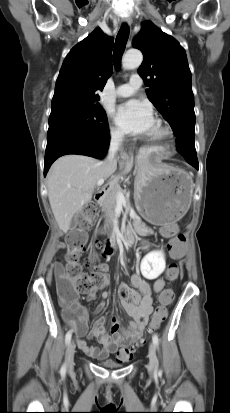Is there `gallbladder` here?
Returning a JSON list of instances; mask_svg holds the SVG:
<instances>
[{"label":"gallbladder","instance_id":"gallbladder-1","mask_svg":"<svg viewBox=\"0 0 230 413\" xmlns=\"http://www.w3.org/2000/svg\"><path fill=\"white\" fill-rule=\"evenodd\" d=\"M76 225H77V219L75 218V219L72 220L70 226L75 227Z\"/></svg>","mask_w":230,"mask_h":413}]
</instances>
